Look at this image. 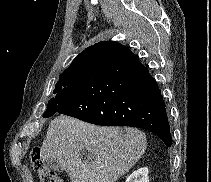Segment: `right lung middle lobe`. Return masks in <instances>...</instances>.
Listing matches in <instances>:
<instances>
[{"label":"right lung middle lobe","mask_w":211,"mask_h":182,"mask_svg":"<svg viewBox=\"0 0 211 182\" xmlns=\"http://www.w3.org/2000/svg\"><path fill=\"white\" fill-rule=\"evenodd\" d=\"M83 66L68 68L59 77V82L53 91L55 97L48 102V107L43 117L47 118L55 113V103L58 100L66 98L76 87L78 79L83 72Z\"/></svg>","instance_id":"obj_1"}]
</instances>
